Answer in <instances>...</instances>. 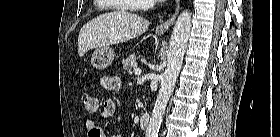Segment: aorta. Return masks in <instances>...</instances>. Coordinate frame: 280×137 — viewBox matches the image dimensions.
<instances>
[{
  "mask_svg": "<svg viewBox=\"0 0 280 137\" xmlns=\"http://www.w3.org/2000/svg\"><path fill=\"white\" fill-rule=\"evenodd\" d=\"M190 30L191 13L188 10H184L179 15L175 23L169 42L167 51V66L161 78V86L148 124V137H158L167 103L173 92L182 66Z\"/></svg>",
  "mask_w": 280,
  "mask_h": 137,
  "instance_id": "aorta-1",
  "label": "aorta"
}]
</instances>
